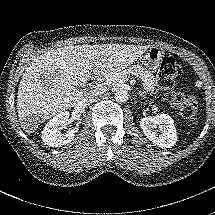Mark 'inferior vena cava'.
<instances>
[{"label": "inferior vena cava", "instance_id": "inferior-vena-cava-1", "mask_svg": "<svg viewBox=\"0 0 215 215\" xmlns=\"http://www.w3.org/2000/svg\"><path fill=\"white\" fill-rule=\"evenodd\" d=\"M104 92H105L104 88L91 89V90L83 93L82 101H87L89 99H93V98L103 94Z\"/></svg>", "mask_w": 215, "mask_h": 215}]
</instances>
